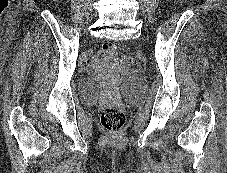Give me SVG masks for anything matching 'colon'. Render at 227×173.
Here are the masks:
<instances>
[{
  "instance_id": "colon-1",
  "label": "colon",
  "mask_w": 227,
  "mask_h": 173,
  "mask_svg": "<svg viewBox=\"0 0 227 173\" xmlns=\"http://www.w3.org/2000/svg\"><path fill=\"white\" fill-rule=\"evenodd\" d=\"M103 51L107 56L118 57L120 63L124 66L134 69V63L128 56H118L117 48L114 44L107 43L103 46ZM125 114L117 106H106L100 115L102 126L110 132H117L122 129L125 123Z\"/></svg>"
}]
</instances>
